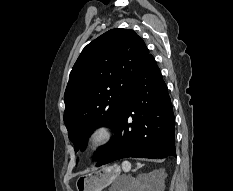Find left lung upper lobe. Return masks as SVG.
<instances>
[{
	"label": "left lung upper lobe",
	"mask_w": 233,
	"mask_h": 191,
	"mask_svg": "<svg viewBox=\"0 0 233 191\" xmlns=\"http://www.w3.org/2000/svg\"><path fill=\"white\" fill-rule=\"evenodd\" d=\"M148 56L144 41L131 29L109 30L83 49L64 94V122L75 151L85 149L88 134L97 127L116 128L131 85Z\"/></svg>",
	"instance_id": "left-lung-upper-lobe-1"
}]
</instances>
